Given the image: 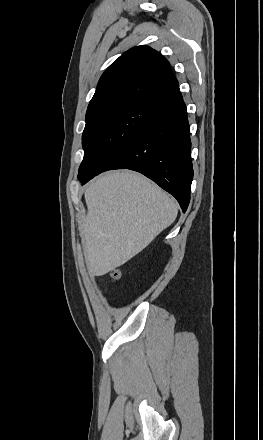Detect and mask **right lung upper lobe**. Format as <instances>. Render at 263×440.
<instances>
[{"instance_id":"1","label":"right lung upper lobe","mask_w":263,"mask_h":440,"mask_svg":"<svg viewBox=\"0 0 263 440\" xmlns=\"http://www.w3.org/2000/svg\"><path fill=\"white\" fill-rule=\"evenodd\" d=\"M179 90L169 62L148 46L134 47L101 76L86 119L110 108L130 104L156 105Z\"/></svg>"}]
</instances>
